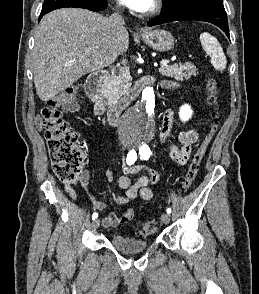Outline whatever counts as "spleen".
Segmentation results:
<instances>
[{
  "mask_svg": "<svg viewBox=\"0 0 259 294\" xmlns=\"http://www.w3.org/2000/svg\"><path fill=\"white\" fill-rule=\"evenodd\" d=\"M200 41L206 54L210 56L213 67L222 72L226 68L227 60L218 40L208 32H204L200 35Z\"/></svg>",
  "mask_w": 259,
  "mask_h": 294,
  "instance_id": "spleen-1",
  "label": "spleen"
}]
</instances>
